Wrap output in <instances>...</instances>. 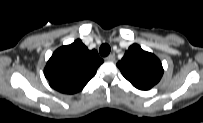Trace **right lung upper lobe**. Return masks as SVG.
I'll list each match as a JSON object with an SVG mask.
<instances>
[{
  "label": "right lung upper lobe",
  "mask_w": 203,
  "mask_h": 123,
  "mask_svg": "<svg viewBox=\"0 0 203 123\" xmlns=\"http://www.w3.org/2000/svg\"><path fill=\"white\" fill-rule=\"evenodd\" d=\"M103 63L96 50H88L80 39L58 48L44 69L55 90L73 94L81 91Z\"/></svg>",
  "instance_id": "obj_1"
}]
</instances>
